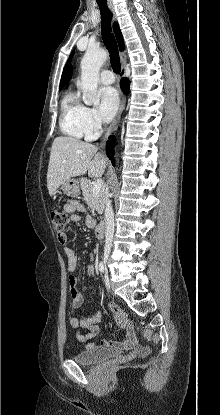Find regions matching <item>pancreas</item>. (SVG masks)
<instances>
[{"mask_svg": "<svg viewBox=\"0 0 220 415\" xmlns=\"http://www.w3.org/2000/svg\"><path fill=\"white\" fill-rule=\"evenodd\" d=\"M93 185L94 182L92 180L87 178L81 179V189L85 201L90 205L94 204L98 213H102L107 203V191L105 188H102L97 195H93Z\"/></svg>", "mask_w": 220, "mask_h": 415, "instance_id": "obj_1", "label": "pancreas"}]
</instances>
